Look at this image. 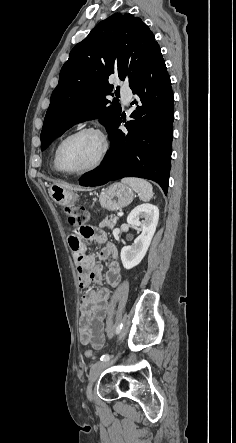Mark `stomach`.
<instances>
[{
  "label": "stomach",
  "mask_w": 236,
  "mask_h": 443,
  "mask_svg": "<svg viewBox=\"0 0 236 443\" xmlns=\"http://www.w3.org/2000/svg\"><path fill=\"white\" fill-rule=\"evenodd\" d=\"M51 198L60 205L74 204L78 195L71 189L52 185L50 187ZM134 198L132 189L123 183H113L105 188L100 194V204L103 208L109 211L120 210L123 207L129 205Z\"/></svg>",
  "instance_id": "0dacf381"
}]
</instances>
